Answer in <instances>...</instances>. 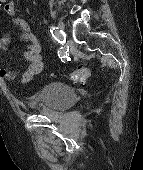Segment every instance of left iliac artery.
<instances>
[{"instance_id": "44dca946", "label": "left iliac artery", "mask_w": 143, "mask_h": 170, "mask_svg": "<svg viewBox=\"0 0 143 170\" xmlns=\"http://www.w3.org/2000/svg\"><path fill=\"white\" fill-rule=\"evenodd\" d=\"M50 33L52 34V36L54 37V39L58 42V43H65L66 42V35L65 33L60 30L58 27L55 26H51L50 27Z\"/></svg>"}]
</instances>
